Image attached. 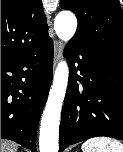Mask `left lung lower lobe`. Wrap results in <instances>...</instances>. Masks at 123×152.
<instances>
[{
    "mask_svg": "<svg viewBox=\"0 0 123 152\" xmlns=\"http://www.w3.org/2000/svg\"><path fill=\"white\" fill-rule=\"evenodd\" d=\"M64 56L70 77L59 129V152L98 136L123 140V60L98 53L80 41H70Z\"/></svg>",
    "mask_w": 123,
    "mask_h": 152,
    "instance_id": "0a47b994",
    "label": "left lung lower lobe"
}]
</instances>
